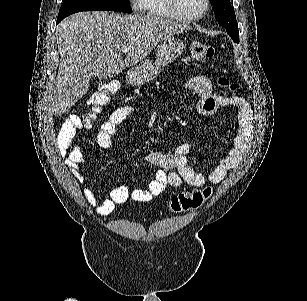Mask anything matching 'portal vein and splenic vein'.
<instances>
[{
	"mask_svg": "<svg viewBox=\"0 0 307 301\" xmlns=\"http://www.w3.org/2000/svg\"><path fill=\"white\" fill-rule=\"evenodd\" d=\"M130 48L129 46H122L121 52H129Z\"/></svg>",
	"mask_w": 307,
	"mask_h": 301,
	"instance_id": "1",
	"label": "portal vein and splenic vein"
}]
</instances>
